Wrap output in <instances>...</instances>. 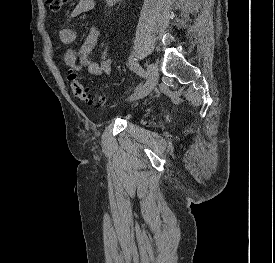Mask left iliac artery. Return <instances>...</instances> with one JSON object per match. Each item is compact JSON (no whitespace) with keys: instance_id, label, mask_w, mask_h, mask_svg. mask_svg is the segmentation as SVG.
I'll use <instances>...</instances> for the list:
<instances>
[{"instance_id":"obj_1","label":"left iliac artery","mask_w":275,"mask_h":263,"mask_svg":"<svg viewBox=\"0 0 275 263\" xmlns=\"http://www.w3.org/2000/svg\"><path fill=\"white\" fill-rule=\"evenodd\" d=\"M129 67L131 70H133L135 73H137L138 75L145 77V71L143 70V68L139 65L137 59L131 55L129 57V61H128Z\"/></svg>"}]
</instances>
